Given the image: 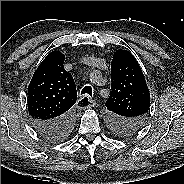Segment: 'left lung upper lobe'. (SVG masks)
<instances>
[{
  "mask_svg": "<svg viewBox=\"0 0 184 184\" xmlns=\"http://www.w3.org/2000/svg\"><path fill=\"white\" fill-rule=\"evenodd\" d=\"M111 128L120 135L131 134L144 124L150 108V94L134 56L117 50L111 62V92L106 101Z\"/></svg>",
  "mask_w": 184,
  "mask_h": 184,
  "instance_id": "left-lung-upper-lobe-1",
  "label": "left lung upper lobe"
}]
</instances>
